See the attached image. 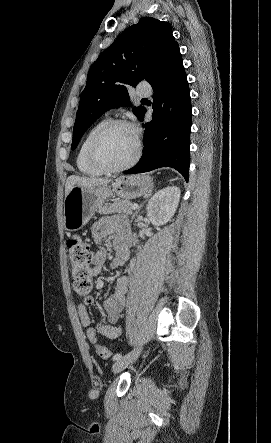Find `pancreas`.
<instances>
[{"label":"pancreas","instance_id":"cf45deb5","mask_svg":"<svg viewBox=\"0 0 271 443\" xmlns=\"http://www.w3.org/2000/svg\"><path fill=\"white\" fill-rule=\"evenodd\" d=\"M130 206L131 202L129 200H116L114 204H109L105 208H99L98 214H128V216H135L136 212L133 214Z\"/></svg>","mask_w":271,"mask_h":443}]
</instances>
